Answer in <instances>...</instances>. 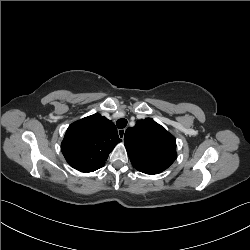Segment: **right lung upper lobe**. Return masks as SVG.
Instances as JSON below:
<instances>
[{
	"label": "right lung upper lobe",
	"instance_id": "right-lung-upper-lobe-1",
	"mask_svg": "<svg viewBox=\"0 0 250 250\" xmlns=\"http://www.w3.org/2000/svg\"><path fill=\"white\" fill-rule=\"evenodd\" d=\"M121 141L114 123L96 113L72 123L61 148L73 168L93 172L104 166L109 153Z\"/></svg>",
	"mask_w": 250,
	"mask_h": 250
}]
</instances>
